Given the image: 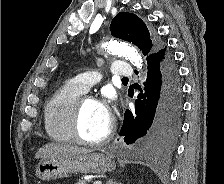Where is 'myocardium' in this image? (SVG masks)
Returning a JSON list of instances; mask_svg holds the SVG:
<instances>
[{"label":"myocardium","instance_id":"f54148a6","mask_svg":"<svg viewBox=\"0 0 224 184\" xmlns=\"http://www.w3.org/2000/svg\"><path fill=\"white\" fill-rule=\"evenodd\" d=\"M87 101H96L97 100L91 96H80L78 100L76 101V104L74 106L71 120H70V132L72 135V139L74 142L86 146H101L106 144L112 137L115 132V123L114 120L111 119L109 129L106 133V135L98 140H88L82 137L80 132V123H81V116L84 104Z\"/></svg>","mask_w":224,"mask_h":184}]
</instances>
